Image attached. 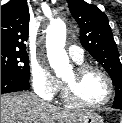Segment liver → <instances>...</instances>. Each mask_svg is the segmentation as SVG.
Segmentation results:
<instances>
[{
	"label": "liver",
	"instance_id": "obj_1",
	"mask_svg": "<svg viewBox=\"0 0 122 123\" xmlns=\"http://www.w3.org/2000/svg\"><path fill=\"white\" fill-rule=\"evenodd\" d=\"M85 114L55 106L30 92L1 96V123H76Z\"/></svg>",
	"mask_w": 122,
	"mask_h": 123
}]
</instances>
